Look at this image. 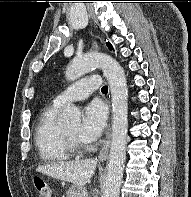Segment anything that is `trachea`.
I'll use <instances>...</instances> for the list:
<instances>
[{"instance_id": "3493384b", "label": "trachea", "mask_w": 191, "mask_h": 197, "mask_svg": "<svg viewBox=\"0 0 191 197\" xmlns=\"http://www.w3.org/2000/svg\"><path fill=\"white\" fill-rule=\"evenodd\" d=\"M101 91H102V92H107V91H108V86H103V87L101 88Z\"/></svg>"}]
</instances>
